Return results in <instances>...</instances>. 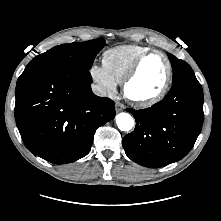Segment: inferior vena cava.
Returning a JSON list of instances; mask_svg holds the SVG:
<instances>
[{
	"instance_id": "1",
	"label": "inferior vena cava",
	"mask_w": 221,
	"mask_h": 221,
	"mask_svg": "<svg viewBox=\"0 0 221 221\" xmlns=\"http://www.w3.org/2000/svg\"><path fill=\"white\" fill-rule=\"evenodd\" d=\"M92 91L97 96L104 97L107 95L106 90L100 85H92Z\"/></svg>"
}]
</instances>
